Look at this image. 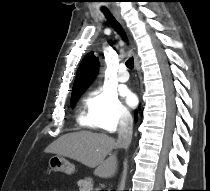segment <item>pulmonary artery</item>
<instances>
[{"mask_svg":"<svg viewBox=\"0 0 210 191\" xmlns=\"http://www.w3.org/2000/svg\"><path fill=\"white\" fill-rule=\"evenodd\" d=\"M117 79H118L119 82H122V83L127 82L128 79H129V74H128L124 64H121L119 66Z\"/></svg>","mask_w":210,"mask_h":191,"instance_id":"obj_1","label":"pulmonary artery"}]
</instances>
